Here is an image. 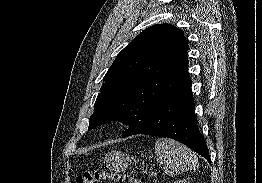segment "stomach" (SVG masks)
Returning a JSON list of instances; mask_svg holds the SVG:
<instances>
[{"mask_svg":"<svg viewBox=\"0 0 262 183\" xmlns=\"http://www.w3.org/2000/svg\"><path fill=\"white\" fill-rule=\"evenodd\" d=\"M132 160L136 162L135 158L121 151L110 152L104 157V163H106L107 168L115 172L125 171Z\"/></svg>","mask_w":262,"mask_h":183,"instance_id":"obj_1","label":"stomach"}]
</instances>
